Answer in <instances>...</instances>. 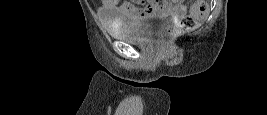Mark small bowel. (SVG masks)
<instances>
[{
  "label": "small bowel",
  "instance_id": "obj_1",
  "mask_svg": "<svg viewBox=\"0 0 267 115\" xmlns=\"http://www.w3.org/2000/svg\"><path fill=\"white\" fill-rule=\"evenodd\" d=\"M117 7L119 11L128 19L134 20L145 14H161L178 16L184 11V6L181 2H164L156 1L144 2L141 7H138L133 2H123L118 5L117 1L104 0L102 9H113Z\"/></svg>",
  "mask_w": 267,
  "mask_h": 115
}]
</instances>
